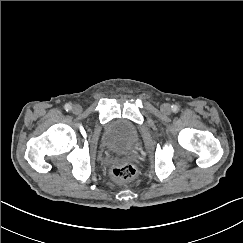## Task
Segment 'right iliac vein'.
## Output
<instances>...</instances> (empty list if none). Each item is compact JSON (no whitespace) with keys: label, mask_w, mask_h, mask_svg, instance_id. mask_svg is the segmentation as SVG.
<instances>
[{"label":"right iliac vein","mask_w":243,"mask_h":243,"mask_svg":"<svg viewBox=\"0 0 243 243\" xmlns=\"http://www.w3.org/2000/svg\"><path fill=\"white\" fill-rule=\"evenodd\" d=\"M82 111V107L79 104H75L72 106V112L74 114H79Z\"/></svg>","instance_id":"right-iliac-vein-1"}]
</instances>
